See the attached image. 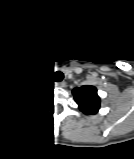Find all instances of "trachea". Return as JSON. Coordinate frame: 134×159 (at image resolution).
I'll return each mask as SVG.
<instances>
[{
    "instance_id": "trachea-1",
    "label": "trachea",
    "mask_w": 134,
    "mask_h": 159,
    "mask_svg": "<svg viewBox=\"0 0 134 159\" xmlns=\"http://www.w3.org/2000/svg\"><path fill=\"white\" fill-rule=\"evenodd\" d=\"M56 81H61L63 79V74L60 71H57L54 75Z\"/></svg>"
}]
</instances>
